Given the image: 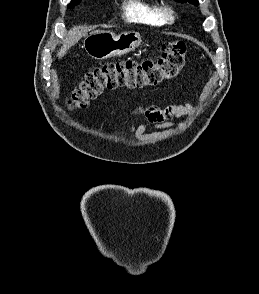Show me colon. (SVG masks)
<instances>
[{"mask_svg":"<svg viewBox=\"0 0 259 294\" xmlns=\"http://www.w3.org/2000/svg\"><path fill=\"white\" fill-rule=\"evenodd\" d=\"M185 56L186 45L183 41H167L156 61L123 60L107 63L85 75L69 98L68 106L73 109L86 108L105 89H140L176 78L185 66Z\"/></svg>","mask_w":259,"mask_h":294,"instance_id":"5ec220e1","label":"colon"}]
</instances>
